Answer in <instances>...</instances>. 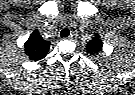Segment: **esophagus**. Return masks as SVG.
Wrapping results in <instances>:
<instances>
[{
	"label": "esophagus",
	"instance_id": "esophagus-1",
	"mask_svg": "<svg viewBox=\"0 0 135 95\" xmlns=\"http://www.w3.org/2000/svg\"><path fill=\"white\" fill-rule=\"evenodd\" d=\"M77 38V34L75 33H71L69 36H68V39L69 40H75Z\"/></svg>",
	"mask_w": 135,
	"mask_h": 95
}]
</instances>
